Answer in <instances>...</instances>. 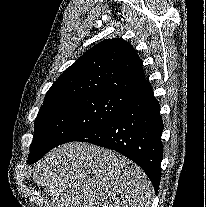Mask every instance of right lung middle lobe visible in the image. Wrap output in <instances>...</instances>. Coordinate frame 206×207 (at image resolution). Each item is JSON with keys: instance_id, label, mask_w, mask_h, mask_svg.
<instances>
[{"instance_id": "right-lung-middle-lobe-1", "label": "right lung middle lobe", "mask_w": 206, "mask_h": 207, "mask_svg": "<svg viewBox=\"0 0 206 207\" xmlns=\"http://www.w3.org/2000/svg\"><path fill=\"white\" fill-rule=\"evenodd\" d=\"M126 103V95L78 96L45 102L35 120L29 158L76 141L116 116Z\"/></svg>"}]
</instances>
